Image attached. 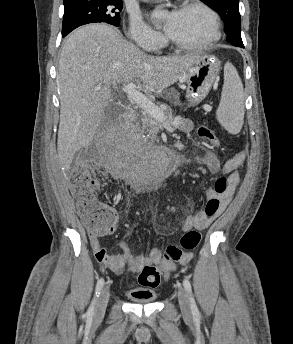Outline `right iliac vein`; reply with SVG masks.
<instances>
[{
  "instance_id": "obj_1",
  "label": "right iliac vein",
  "mask_w": 293,
  "mask_h": 344,
  "mask_svg": "<svg viewBox=\"0 0 293 344\" xmlns=\"http://www.w3.org/2000/svg\"><path fill=\"white\" fill-rule=\"evenodd\" d=\"M109 296H110L109 288L104 287L101 290V293L99 295L98 302L96 305V310H95L96 319H100L104 316L105 310L109 301Z\"/></svg>"
}]
</instances>
